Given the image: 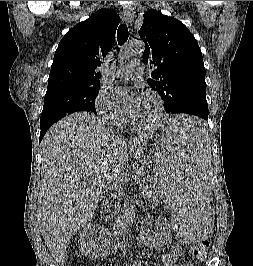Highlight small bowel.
Instances as JSON below:
<instances>
[{"mask_svg": "<svg viewBox=\"0 0 253 266\" xmlns=\"http://www.w3.org/2000/svg\"><path fill=\"white\" fill-rule=\"evenodd\" d=\"M179 248L174 247L170 254H163L162 260L164 266H184L182 265L179 257ZM134 266H142L140 263H136Z\"/></svg>", "mask_w": 253, "mask_h": 266, "instance_id": "c3829d8e", "label": "small bowel"}]
</instances>
